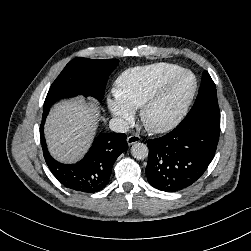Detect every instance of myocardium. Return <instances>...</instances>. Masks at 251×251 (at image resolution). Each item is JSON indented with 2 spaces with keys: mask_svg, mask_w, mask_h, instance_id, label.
I'll return each mask as SVG.
<instances>
[{
  "mask_svg": "<svg viewBox=\"0 0 251 251\" xmlns=\"http://www.w3.org/2000/svg\"><path fill=\"white\" fill-rule=\"evenodd\" d=\"M190 76L192 79V85L182 101L178 110L166 121L162 123H152L149 121V113L153 107H155L169 92V90L176 84V82L183 76ZM197 78L193 72L187 69H182L176 74L170 76L164 80L144 101L140 107V118L144 126L155 133H165L174 129L186 116L190 105L194 99L197 91Z\"/></svg>",
  "mask_w": 251,
  "mask_h": 251,
  "instance_id": "myocardium-1",
  "label": "myocardium"
}]
</instances>
